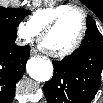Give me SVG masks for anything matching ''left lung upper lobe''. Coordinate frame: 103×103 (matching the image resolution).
<instances>
[{
  "mask_svg": "<svg viewBox=\"0 0 103 103\" xmlns=\"http://www.w3.org/2000/svg\"><path fill=\"white\" fill-rule=\"evenodd\" d=\"M96 26L95 21L92 19V17H87V27Z\"/></svg>",
  "mask_w": 103,
  "mask_h": 103,
  "instance_id": "left-lung-upper-lobe-1",
  "label": "left lung upper lobe"
}]
</instances>
